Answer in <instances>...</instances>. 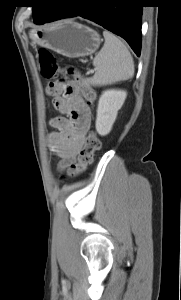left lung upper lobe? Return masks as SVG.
<instances>
[{
    "mask_svg": "<svg viewBox=\"0 0 181 300\" xmlns=\"http://www.w3.org/2000/svg\"><path fill=\"white\" fill-rule=\"evenodd\" d=\"M57 0H33L32 11L35 24H43L53 14L58 4ZM45 3H50L46 5Z\"/></svg>",
    "mask_w": 181,
    "mask_h": 300,
    "instance_id": "left-lung-upper-lobe-1",
    "label": "left lung upper lobe"
}]
</instances>
